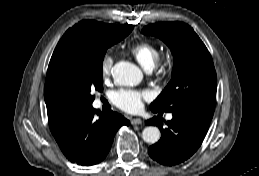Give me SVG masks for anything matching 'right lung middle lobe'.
Instances as JSON below:
<instances>
[{"label":"right lung middle lobe","instance_id":"obj_1","mask_svg":"<svg viewBox=\"0 0 259 176\" xmlns=\"http://www.w3.org/2000/svg\"><path fill=\"white\" fill-rule=\"evenodd\" d=\"M132 29L100 35L75 29L60 44L58 63L72 84L81 108L92 106L94 90H103L102 63L106 50L126 37Z\"/></svg>","mask_w":259,"mask_h":176}]
</instances>
